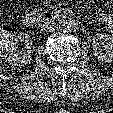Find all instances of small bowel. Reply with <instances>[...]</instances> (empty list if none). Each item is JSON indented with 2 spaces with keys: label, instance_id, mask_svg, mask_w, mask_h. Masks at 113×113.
I'll return each mask as SVG.
<instances>
[{
  "label": "small bowel",
  "instance_id": "small-bowel-1",
  "mask_svg": "<svg viewBox=\"0 0 113 113\" xmlns=\"http://www.w3.org/2000/svg\"><path fill=\"white\" fill-rule=\"evenodd\" d=\"M112 1V0H111ZM113 2V1H112ZM98 21L110 32L113 33V14L104 13L98 16Z\"/></svg>",
  "mask_w": 113,
  "mask_h": 113
}]
</instances>
